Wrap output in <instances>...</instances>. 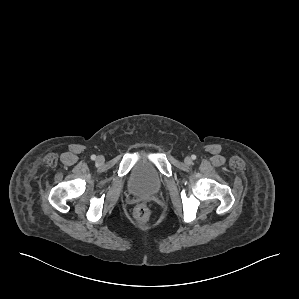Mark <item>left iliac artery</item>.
<instances>
[{
	"mask_svg": "<svg viewBox=\"0 0 299 299\" xmlns=\"http://www.w3.org/2000/svg\"><path fill=\"white\" fill-rule=\"evenodd\" d=\"M192 159H193V160L196 159V156H195V155H192Z\"/></svg>",
	"mask_w": 299,
	"mask_h": 299,
	"instance_id": "1",
	"label": "left iliac artery"
}]
</instances>
